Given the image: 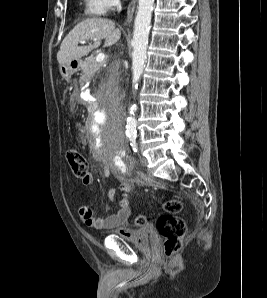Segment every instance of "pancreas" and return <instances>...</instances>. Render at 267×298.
<instances>
[{"label": "pancreas", "mask_w": 267, "mask_h": 298, "mask_svg": "<svg viewBox=\"0 0 267 298\" xmlns=\"http://www.w3.org/2000/svg\"><path fill=\"white\" fill-rule=\"evenodd\" d=\"M105 64V61L97 62L96 57H90L81 64L82 79H90Z\"/></svg>", "instance_id": "obj_1"}]
</instances>
